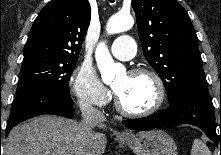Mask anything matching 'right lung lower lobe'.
<instances>
[{
  "instance_id": "1",
  "label": "right lung lower lobe",
  "mask_w": 221,
  "mask_h": 155,
  "mask_svg": "<svg viewBox=\"0 0 221 155\" xmlns=\"http://www.w3.org/2000/svg\"><path fill=\"white\" fill-rule=\"evenodd\" d=\"M73 103L70 96L61 95L50 90L35 89L25 94L19 102L12 107L5 130V136H8L10 130L20 122L38 115L53 114L70 118L74 113Z\"/></svg>"
}]
</instances>
